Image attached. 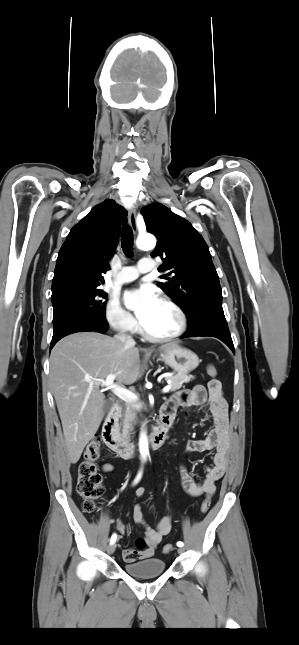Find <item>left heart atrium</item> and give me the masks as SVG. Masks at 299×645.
Returning a JSON list of instances; mask_svg holds the SVG:
<instances>
[{"label":"left heart atrium","mask_w":299,"mask_h":645,"mask_svg":"<svg viewBox=\"0 0 299 645\" xmlns=\"http://www.w3.org/2000/svg\"><path fill=\"white\" fill-rule=\"evenodd\" d=\"M127 300L135 299L138 302L137 317L141 324L159 303V298L150 287L144 286L132 290L125 295Z\"/></svg>","instance_id":"39dd6f15"}]
</instances>
